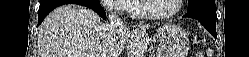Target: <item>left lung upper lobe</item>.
Returning <instances> with one entry per match:
<instances>
[{
    "label": "left lung upper lobe",
    "mask_w": 249,
    "mask_h": 57,
    "mask_svg": "<svg viewBox=\"0 0 249 57\" xmlns=\"http://www.w3.org/2000/svg\"><path fill=\"white\" fill-rule=\"evenodd\" d=\"M203 3H215V0H188V10H191Z\"/></svg>",
    "instance_id": "left-lung-upper-lobe-1"
}]
</instances>
